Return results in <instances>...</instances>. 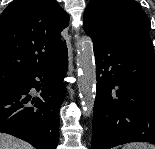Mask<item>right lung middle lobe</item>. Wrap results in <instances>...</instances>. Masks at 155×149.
<instances>
[{
  "mask_svg": "<svg viewBox=\"0 0 155 149\" xmlns=\"http://www.w3.org/2000/svg\"><path fill=\"white\" fill-rule=\"evenodd\" d=\"M26 74L8 69H0V91L18 89L22 86Z\"/></svg>",
  "mask_w": 155,
  "mask_h": 149,
  "instance_id": "right-lung-middle-lobe-1",
  "label": "right lung middle lobe"
}]
</instances>
